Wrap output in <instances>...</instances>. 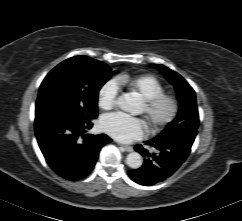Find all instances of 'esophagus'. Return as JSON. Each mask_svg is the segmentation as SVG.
Segmentation results:
<instances>
[{"label": "esophagus", "instance_id": "34e87169", "mask_svg": "<svg viewBox=\"0 0 242 221\" xmlns=\"http://www.w3.org/2000/svg\"><path fill=\"white\" fill-rule=\"evenodd\" d=\"M121 148H123L125 151L127 152H132L133 151V147L128 146V145H119Z\"/></svg>", "mask_w": 242, "mask_h": 221}]
</instances>
